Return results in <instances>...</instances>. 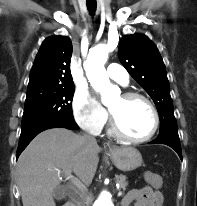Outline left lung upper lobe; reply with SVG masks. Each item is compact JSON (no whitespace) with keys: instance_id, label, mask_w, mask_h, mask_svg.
Wrapping results in <instances>:
<instances>
[{"instance_id":"5c2ea615","label":"left lung upper lobe","mask_w":197,"mask_h":206,"mask_svg":"<svg viewBox=\"0 0 197 206\" xmlns=\"http://www.w3.org/2000/svg\"><path fill=\"white\" fill-rule=\"evenodd\" d=\"M118 56L129 74L156 104L160 117L158 137H179L166 68L155 44L143 34L124 35Z\"/></svg>"}]
</instances>
